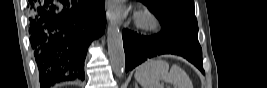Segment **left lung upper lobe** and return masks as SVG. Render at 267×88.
<instances>
[{"instance_id": "obj_1", "label": "left lung upper lobe", "mask_w": 267, "mask_h": 88, "mask_svg": "<svg viewBox=\"0 0 267 88\" xmlns=\"http://www.w3.org/2000/svg\"><path fill=\"white\" fill-rule=\"evenodd\" d=\"M166 28H186L198 31L194 0H139Z\"/></svg>"}]
</instances>
